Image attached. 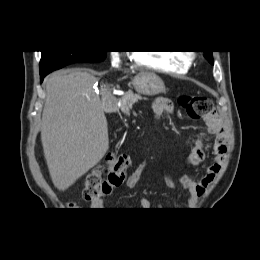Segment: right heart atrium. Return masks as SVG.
<instances>
[{
  "instance_id": "d8ad5b80",
  "label": "right heart atrium",
  "mask_w": 260,
  "mask_h": 260,
  "mask_svg": "<svg viewBox=\"0 0 260 260\" xmlns=\"http://www.w3.org/2000/svg\"><path fill=\"white\" fill-rule=\"evenodd\" d=\"M120 56L118 53H112L111 55V61L114 65H118Z\"/></svg>"
}]
</instances>
